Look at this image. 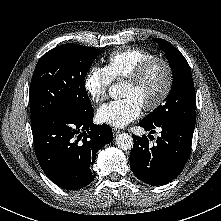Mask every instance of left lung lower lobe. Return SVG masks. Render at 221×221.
<instances>
[{
  "instance_id": "left-lung-lower-lobe-1",
  "label": "left lung lower lobe",
  "mask_w": 221,
  "mask_h": 221,
  "mask_svg": "<svg viewBox=\"0 0 221 221\" xmlns=\"http://www.w3.org/2000/svg\"><path fill=\"white\" fill-rule=\"evenodd\" d=\"M139 126L151 134L159 128L161 136L153 146L145 135L133 136L131 170L139 180L151 186L165 185L180 174L189 158L195 122L174 119L161 124H149L143 120Z\"/></svg>"
}]
</instances>
